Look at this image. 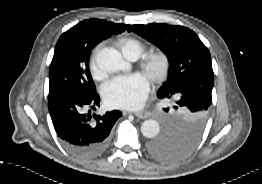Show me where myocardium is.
Returning <instances> with one entry per match:
<instances>
[{
  "mask_svg": "<svg viewBox=\"0 0 262 184\" xmlns=\"http://www.w3.org/2000/svg\"><path fill=\"white\" fill-rule=\"evenodd\" d=\"M172 57L165 50H156L152 52L145 61V68L151 73L154 82L163 81L172 69Z\"/></svg>",
  "mask_w": 262,
  "mask_h": 184,
  "instance_id": "f54148a6",
  "label": "myocardium"
}]
</instances>
